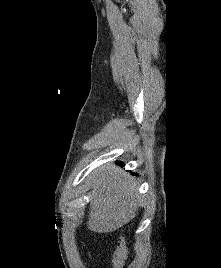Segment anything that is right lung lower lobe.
Instances as JSON below:
<instances>
[{
	"label": "right lung lower lobe",
	"mask_w": 221,
	"mask_h": 268,
	"mask_svg": "<svg viewBox=\"0 0 221 268\" xmlns=\"http://www.w3.org/2000/svg\"><path fill=\"white\" fill-rule=\"evenodd\" d=\"M119 165L123 166V163L122 162H117Z\"/></svg>",
	"instance_id": "right-lung-lower-lobe-1"
}]
</instances>
